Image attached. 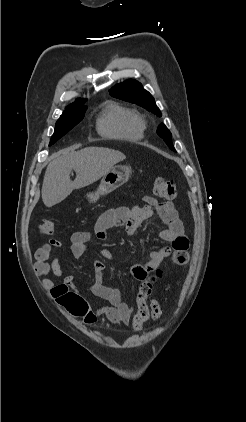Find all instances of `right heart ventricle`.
<instances>
[{
	"instance_id": "right-heart-ventricle-1",
	"label": "right heart ventricle",
	"mask_w": 246,
	"mask_h": 422,
	"mask_svg": "<svg viewBox=\"0 0 246 422\" xmlns=\"http://www.w3.org/2000/svg\"><path fill=\"white\" fill-rule=\"evenodd\" d=\"M97 129L105 137L140 140L144 136L145 122L136 110L108 101L98 118Z\"/></svg>"
}]
</instances>
